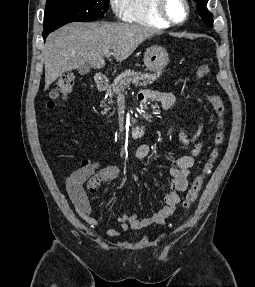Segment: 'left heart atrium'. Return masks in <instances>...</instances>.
Here are the masks:
<instances>
[{
	"label": "left heart atrium",
	"instance_id": "39dd6f15",
	"mask_svg": "<svg viewBox=\"0 0 255 287\" xmlns=\"http://www.w3.org/2000/svg\"><path fill=\"white\" fill-rule=\"evenodd\" d=\"M116 33H140V32H116ZM114 39H139V38H114ZM119 48H135V47H119Z\"/></svg>",
	"mask_w": 255,
	"mask_h": 287
}]
</instances>
